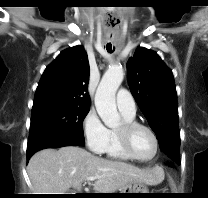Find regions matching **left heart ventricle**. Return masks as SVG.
<instances>
[{
	"mask_svg": "<svg viewBox=\"0 0 208 198\" xmlns=\"http://www.w3.org/2000/svg\"><path fill=\"white\" fill-rule=\"evenodd\" d=\"M120 127L121 125L118 128ZM131 147L138 157L147 159L154 153V139L147 130L138 128L131 135Z\"/></svg>",
	"mask_w": 208,
	"mask_h": 198,
	"instance_id": "obj_1",
	"label": "left heart ventricle"
}]
</instances>
